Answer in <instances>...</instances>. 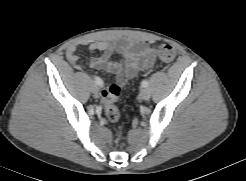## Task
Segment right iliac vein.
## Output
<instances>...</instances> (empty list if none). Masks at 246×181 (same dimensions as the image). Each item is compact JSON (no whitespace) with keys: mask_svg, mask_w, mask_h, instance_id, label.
I'll use <instances>...</instances> for the list:
<instances>
[{"mask_svg":"<svg viewBox=\"0 0 246 181\" xmlns=\"http://www.w3.org/2000/svg\"><path fill=\"white\" fill-rule=\"evenodd\" d=\"M92 92H93L94 96H98L99 88H98L97 85H94V86L92 87Z\"/></svg>","mask_w":246,"mask_h":181,"instance_id":"right-iliac-vein-1","label":"right iliac vein"}]
</instances>
